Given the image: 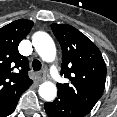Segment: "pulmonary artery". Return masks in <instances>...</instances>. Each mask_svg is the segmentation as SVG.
I'll use <instances>...</instances> for the list:
<instances>
[{
	"mask_svg": "<svg viewBox=\"0 0 117 117\" xmlns=\"http://www.w3.org/2000/svg\"><path fill=\"white\" fill-rule=\"evenodd\" d=\"M51 74H52V77H53L54 80H56V81L59 80L58 72L54 67L51 69Z\"/></svg>",
	"mask_w": 117,
	"mask_h": 117,
	"instance_id": "e3ab8cb5",
	"label": "pulmonary artery"
}]
</instances>
